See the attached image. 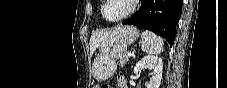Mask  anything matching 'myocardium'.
<instances>
[{"instance_id":"1","label":"myocardium","mask_w":227,"mask_h":88,"mask_svg":"<svg viewBox=\"0 0 227 88\" xmlns=\"http://www.w3.org/2000/svg\"><path fill=\"white\" fill-rule=\"evenodd\" d=\"M114 1H117V0H104L102 3L101 9H100L103 19L109 23H116V22L122 21L125 18H127L128 16H130L134 12V10L136 8V4L138 3V0H122L126 5L125 12L118 17L108 18L105 14V8Z\"/></svg>"}]
</instances>
